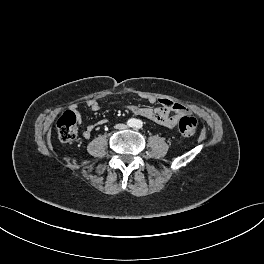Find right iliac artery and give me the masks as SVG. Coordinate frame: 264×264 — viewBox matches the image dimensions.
I'll use <instances>...</instances> for the list:
<instances>
[{"instance_id":"82829eb1","label":"right iliac artery","mask_w":264,"mask_h":264,"mask_svg":"<svg viewBox=\"0 0 264 264\" xmlns=\"http://www.w3.org/2000/svg\"><path fill=\"white\" fill-rule=\"evenodd\" d=\"M127 124H128V126L132 127V126L135 125V120H134V119H129V120L127 121Z\"/></svg>"}]
</instances>
